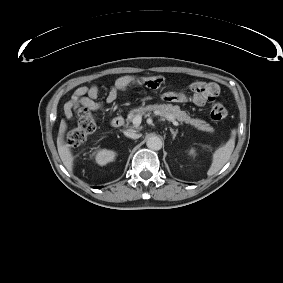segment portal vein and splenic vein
I'll return each instance as SVG.
<instances>
[{
  "label": "portal vein and splenic vein",
  "mask_w": 283,
  "mask_h": 283,
  "mask_svg": "<svg viewBox=\"0 0 283 283\" xmlns=\"http://www.w3.org/2000/svg\"><path fill=\"white\" fill-rule=\"evenodd\" d=\"M141 120H142V116H141V115H136V116L133 118L132 123H133V125H134L135 127H138V126L141 124ZM170 120H171V122L173 123V125L179 126V123H178L175 119H173V118L170 117Z\"/></svg>",
  "instance_id": "1"
}]
</instances>
